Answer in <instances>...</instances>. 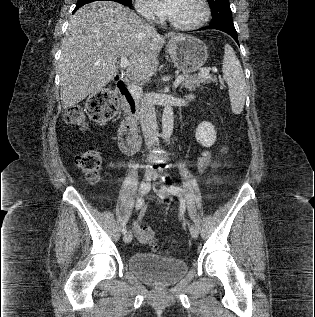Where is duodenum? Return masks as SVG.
<instances>
[{
	"label": "duodenum",
	"mask_w": 315,
	"mask_h": 317,
	"mask_svg": "<svg viewBox=\"0 0 315 317\" xmlns=\"http://www.w3.org/2000/svg\"><path fill=\"white\" fill-rule=\"evenodd\" d=\"M115 83L121 96L122 105L129 111H135V101L131 93L120 78L115 79ZM118 144L120 149L126 154H134L139 150L140 137L133 123L126 121L122 123L118 130Z\"/></svg>",
	"instance_id": "1"
}]
</instances>
